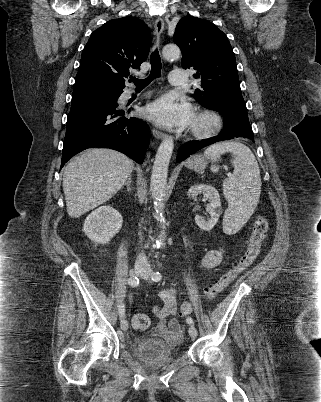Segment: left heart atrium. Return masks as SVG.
Returning <instances> with one entry per match:
<instances>
[{"instance_id":"39dd6f15","label":"left heart atrium","mask_w":321,"mask_h":402,"mask_svg":"<svg viewBox=\"0 0 321 402\" xmlns=\"http://www.w3.org/2000/svg\"><path fill=\"white\" fill-rule=\"evenodd\" d=\"M145 113L150 120L168 128L189 125L194 116L188 103H179L170 97L153 102L146 108Z\"/></svg>"}]
</instances>
